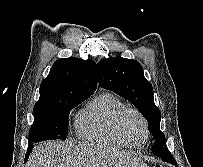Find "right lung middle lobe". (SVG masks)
Returning a JSON list of instances; mask_svg holds the SVG:
<instances>
[{
  "label": "right lung middle lobe",
  "instance_id": "right-lung-middle-lobe-1",
  "mask_svg": "<svg viewBox=\"0 0 203 167\" xmlns=\"http://www.w3.org/2000/svg\"><path fill=\"white\" fill-rule=\"evenodd\" d=\"M87 98H72L52 106L34 107V122L29 131V142L66 139L71 109Z\"/></svg>",
  "mask_w": 203,
  "mask_h": 167
}]
</instances>
